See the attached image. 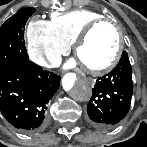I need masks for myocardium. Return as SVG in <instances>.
<instances>
[{
  "instance_id": "myocardium-1",
  "label": "myocardium",
  "mask_w": 147,
  "mask_h": 147,
  "mask_svg": "<svg viewBox=\"0 0 147 147\" xmlns=\"http://www.w3.org/2000/svg\"><path fill=\"white\" fill-rule=\"evenodd\" d=\"M104 25L111 26L112 28L116 30L117 36H118L117 47L111 59L108 62H106L104 65L97 66V67L82 65L85 71L93 75H100L105 72H108L117 64L118 60L120 59L122 50H123V37H122L120 29L108 19H98L88 24L79 33V35L76 37L75 41L73 42V53L77 57L80 48L87 41L92 31L96 29L97 27L104 26Z\"/></svg>"
}]
</instances>
